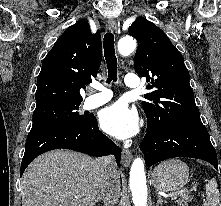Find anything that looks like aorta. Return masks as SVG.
Here are the masks:
<instances>
[{"mask_svg":"<svg viewBox=\"0 0 221 206\" xmlns=\"http://www.w3.org/2000/svg\"><path fill=\"white\" fill-rule=\"evenodd\" d=\"M136 49V40L131 36L122 37L118 42V52L129 55ZM129 186L134 206H147V185L144 161L137 157L130 169Z\"/></svg>","mask_w":221,"mask_h":206,"instance_id":"obj_1","label":"aorta"}]
</instances>
